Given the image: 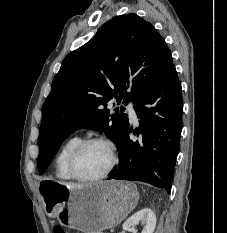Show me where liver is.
I'll list each match as a JSON object with an SVG mask.
<instances>
[{"instance_id":"liver-1","label":"liver","mask_w":227,"mask_h":233,"mask_svg":"<svg viewBox=\"0 0 227 233\" xmlns=\"http://www.w3.org/2000/svg\"><path fill=\"white\" fill-rule=\"evenodd\" d=\"M61 184L69 187V188H79V187H82V185L80 184H70V183H65V182H60Z\"/></svg>"}]
</instances>
